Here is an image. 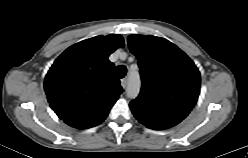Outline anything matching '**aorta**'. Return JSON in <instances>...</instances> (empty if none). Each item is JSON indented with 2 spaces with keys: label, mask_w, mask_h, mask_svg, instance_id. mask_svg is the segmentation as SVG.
Wrapping results in <instances>:
<instances>
[{
  "label": "aorta",
  "mask_w": 248,
  "mask_h": 158,
  "mask_svg": "<svg viewBox=\"0 0 248 158\" xmlns=\"http://www.w3.org/2000/svg\"><path fill=\"white\" fill-rule=\"evenodd\" d=\"M140 77L138 73L131 72L129 75V82L127 86V95L129 98H135L137 97L139 91H140Z\"/></svg>",
  "instance_id": "aorta-1"
}]
</instances>
